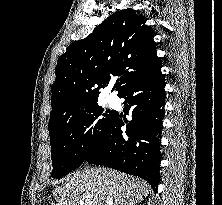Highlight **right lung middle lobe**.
<instances>
[{
  "label": "right lung middle lobe",
  "mask_w": 222,
  "mask_h": 205,
  "mask_svg": "<svg viewBox=\"0 0 222 205\" xmlns=\"http://www.w3.org/2000/svg\"><path fill=\"white\" fill-rule=\"evenodd\" d=\"M116 113L98 104L48 125L53 178H60L78 167L104 130L113 122Z\"/></svg>",
  "instance_id": "obj_1"
}]
</instances>
